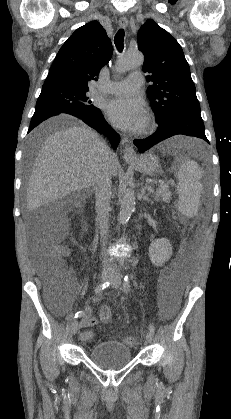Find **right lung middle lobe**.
Wrapping results in <instances>:
<instances>
[{
	"label": "right lung middle lobe",
	"instance_id": "obj_1",
	"mask_svg": "<svg viewBox=\"0 0 231 419\" xmlns=\"http://www.w3.org/2000/svg\"><path fill=\"white\" fill-rule=\"evenodd\" d=\"M89 89L66 85L43 86L36 103V110L46 109L72 115L88 116L100 111L86 96Z\"/></svg>",
	"mask_w": 231,
	"mask_h": 419
}]
</instances>
